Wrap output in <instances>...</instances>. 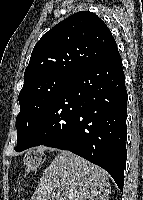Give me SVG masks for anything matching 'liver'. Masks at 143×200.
Wrapping results in <instances>:
<instances>
[{
  "label": "liver",
  "instance_id": "1",
  "mask_svg": "<svg viewBox=\"0 0 143 200\" xmlns=\"http://www.w3.org/2000/svg\"><path fill=\"white\" fill-rule=\"evenodd\" d=\"M106 172L70 151H61L44 170L31 200H108Z\"/></svg>",
  "mask_w": 143,
  "mask_h": 200
}]
</instances>
